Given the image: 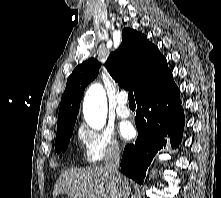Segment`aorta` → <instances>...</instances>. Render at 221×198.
<instances>
[{
  "mask_svg": "<svg viewBox=\"0 0 221 198\" xmlns=\"http://www.w3.org/2000/svg\"><path fill=\"white\" fill-rule=\"evenodd\" d=\"M83 114L91 128L100 130L104 127L107 118V99L101 84L95 83L87 90L83 102Z\"/></svg>",
  "mask_w": 221,
  "mask_h": 198,
  "instance_id": "1",
  "label": "aorta"
}]
</instances>
